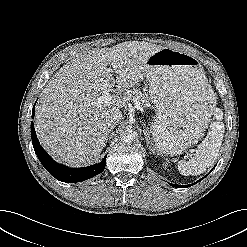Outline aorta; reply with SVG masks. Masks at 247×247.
Masks as SVG:
<instances>
[{"mask_svg": "<svg viewBox=\"0 0 247 247\" xmlns=\"http://www.w3.org/2000/svg\"><path fill=\"white\" fill-rule=\"evenodd\" d=\"M137 133L132 129H127L120 134V140L123 143H132L135 141Z\"/></svg>", "mask_w": 247, "mask_h": 247, "instance_id": "aorta-1", "label": "aorta"}]
</instances>
